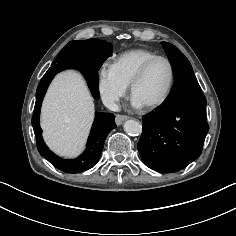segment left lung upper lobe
Wrapping results in <instances>:
<instances>
[{"label": "left lung upper lobe", "instance_id": "left-lung-upper-lobe-1", "mask_svg": "<svg viewBox=\"0 0 236 236\" xmlns=\"http://www.w3.org/2000/svg\"><path fill=\"white\" fill-rule=\"evenodd\" d=\"M162 45L173 66L175 79L187 73L193 72L192 66L188 59L175 46L167 42H162Z\"/></svg>", "mask_w": 236, "mask_h": 236}]
</instances>
